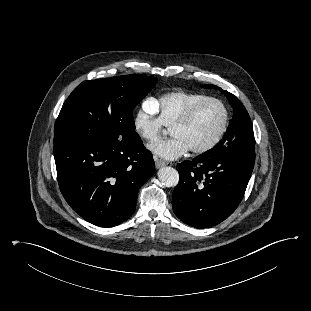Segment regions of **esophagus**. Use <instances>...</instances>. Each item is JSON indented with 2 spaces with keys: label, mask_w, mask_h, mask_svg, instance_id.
Instances as JSON below:
<instances>
[{
  "label": "esophagus",
  "mask_w": 311,
  "mask_h": 311,
  "mask_svg": "<svg viewBox=\"0 0 311 311\" xmlns=\"http://www.w3.org/2000/svg\"><path fill=\"white\" fill-rule=\"evenodd\" d=\"M154 160H155L156 168H160L162 166L167 165V162H165V161H163V160H161V159H159L157 157H155Z\"/></svg>",
  "instance_id": "esophagus-1"
}]
</instances>
